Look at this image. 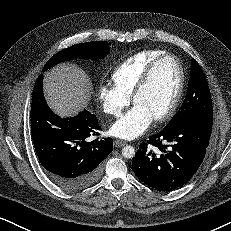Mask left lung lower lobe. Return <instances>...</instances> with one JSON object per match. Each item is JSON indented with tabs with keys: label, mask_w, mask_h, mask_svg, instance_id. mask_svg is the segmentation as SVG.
<instances>
[{
	"label": "left lung lower lobe",
	"mask_w": 231,
	"mask_h": 231,
	"mask_svg": "<svg viewBox=\"0 0 231 231\" xmlns=\"http://www.w3.org/2000/svg\"><path fill=\"white\" fill-rule=\"evenodd\" d=\"M212 118L189 117L165 127L141 143L132 168L137 177L160 191L184 185L203 162L209 144ZM157 149L151 150L148 145Z\"/></svg>",
	"instance_id": "left-lung-lower-lobe-1"
}]
</instances>
